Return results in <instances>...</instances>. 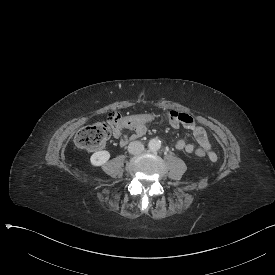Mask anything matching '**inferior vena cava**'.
Here are the masks:
<instances>
[{
	"mask_svg": "<svg viewBox=\"0 0 275 275\" xmlns=\"http://www.w3.org/2000/svg\"><path fill=\"white\" fill-rule=\"evenodd\" d=\"M128 151L130 154L139 155L144 151V145L140 141L130 142L128 145Z\"/></svg>",
	"mask_w": 275,
	"mask_h": 275,
	"instance_id": "602c4592",
	"label": "inferior vena cava"
}]
</instances>
